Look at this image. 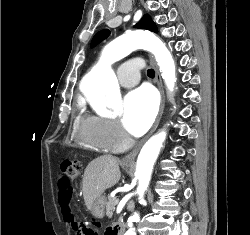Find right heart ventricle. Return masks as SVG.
Listing matches in <instances>:
<instances>
[{"label": "right heart ventricle", "mask_w": 250, "mask_h": 235, "mask_svg": "<svg viewBox=\"0 0 250 235\" xmlns=\"http://www.w3.org/2000/svg\"><path fill=\"white\" fill-rule=\"evenodd\" d=\"M98 118L87 113L83 104H79L76 117L77 139L85 147L100 152H113L106 146L97 134Z\"/></svg>", "instance_id": "1"}]
</instances>
